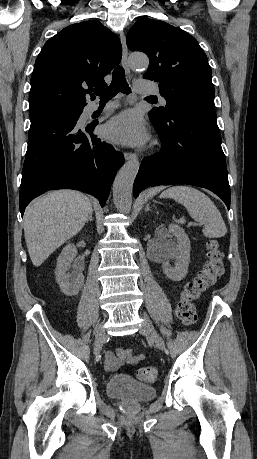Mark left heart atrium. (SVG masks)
Instances as JSON below:
<instances>
[{"label":"left heart atrium","mask_w":257,"mask_h":459,"mask_svg":"<svg viewBox=\"0 0 257 459\" xmlns=\"http://www.w3.org/2000/svg\"><path fill=\"white\" fill-rule=\"evenodd\" d=\"M105 134L111 141L127 146L141 145L148 139L142 117L133 110L112 118L105 126Z\"/></svg>","instance_id":"left-heart-atrium-1"}]
</instances>
